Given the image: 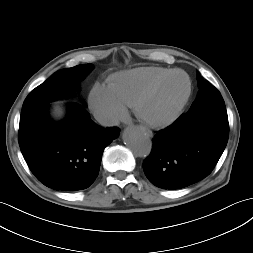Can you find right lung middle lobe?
<instances>
[{"mask_svg": "<svg viewBox=\"0 0 253 253\" xmlns=\"http://www.w3.org/2000/svg\"><path fill=\"white\" fill-rule=\"evenodd\" d=\"M92 68V64H82L55 72L44 83L31 91L23 103L21 112L71 95L78 83Z\"/></svg>", "mask_w": 253, "mask_h": 253, "instance_id": "obj_1", "label": "right lung middle lobe"}]
</instances>
